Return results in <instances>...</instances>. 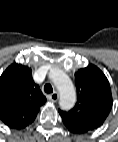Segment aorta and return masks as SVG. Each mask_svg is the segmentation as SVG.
Segmentation results:
<instances>
[{
	"label": "aorta",
	"instance_id": "aorta-1",
	"mask_svg": "<svg viewBox=\"0 0 118 142\" xmlns=\"http://www.w3.org/2000/svg\"><path fill=\"white\" fill-rule=\"evenodd\" d=\"M49 77L60 93L59 105L63 110H69L76 103V91L69 76L60 69H51Z\"/></svg>",
	"mask_w": 118,
	"mask_h": 142
}]
</instances>
